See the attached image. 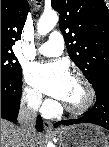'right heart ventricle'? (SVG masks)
<instances>
[{
    "label": "right heart ventricle",
    "mask_w": 109,
    "mask_h": 147,
    "mask_svg": "<svg viewBox=\"0 0 109 147\" xmlns=\"http://www.w3.org/2000/svg\"><path fill=\"white\" fill-rule=\"evenodd\" d=\"M45 113V115H48L49 113H54L53 108H47L43 111Z\"/></svg>",
    "instance_id": "right-heart-ventricle-1"
}]
</instances>
